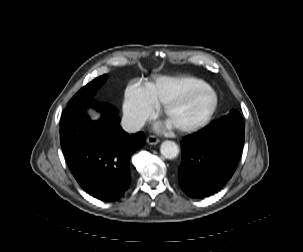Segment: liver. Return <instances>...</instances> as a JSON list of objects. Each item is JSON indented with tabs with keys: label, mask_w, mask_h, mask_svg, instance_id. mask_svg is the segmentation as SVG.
<instances>
[{
	"label": "liver",
	"mask_w": 303,
	"mask_h": 252,
	"mask_svg": "<svg viewBox=\"0 0 303 252\" xmlns=\"http://www.w3.org/2000/svg\"><path fill=\"white\" fill-rule=\"evenodd\" d=\"M99 117V115H97V114H92V118L93 119H97Z\"/></svg>",
	"instance_id": "liver-1"
}]
</instances>
